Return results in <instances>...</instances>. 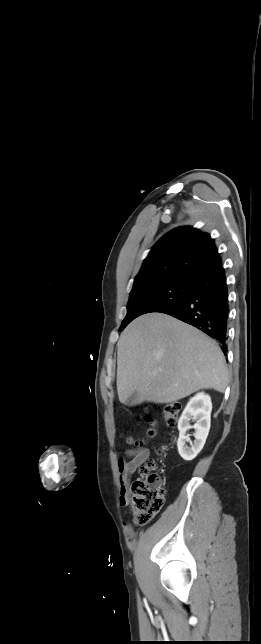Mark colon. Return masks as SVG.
Here are the masks:
<instances>
[{"mask_svg": "<svg viewBox=\"0 0 261 644\" xmlns=\"http://www.w3.org/2000/svg\"><path fill=\"white\" fill-rule=\"evenodd\" d=\"M181 406L177 402L168 403L164 406L163 417L169 426H173L180 415ZM146 421L149 427L146 431L148 438L156 436V421L147 416ZM130 444L142 445V441L128 438ZM164 448H161L163 450ZM140 477L131 484V510L134 521L138 524L149 522L162 508L165 499L163 479L156 472V463L147 459L139 468Z\"/></svg>", "mask_w": 261, "mask_h": 644, "instance_id": "1", "label": "colon"}]
</instances>
